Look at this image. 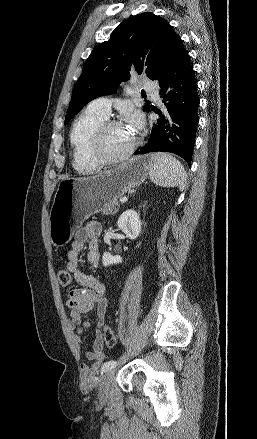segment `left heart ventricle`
Returning a JSON list of instances; mask_svg holds the SVG:
<instances>
[{"label":"left heart ventricle","mask_w":257,"mask_h":439,"mask_svg":"<svg viewBox=\"0 0 257 439\" xmlns=\"http://www.w3.org/2000/svg\"><path fill=\"white\" fill-rule=\"evenodd\" d=\"M137 138V134L127 125L110 127L104 137V150L107 156H114L128 148Z\"/></svg>","instance_id":"obj_1"}]
</instances>
